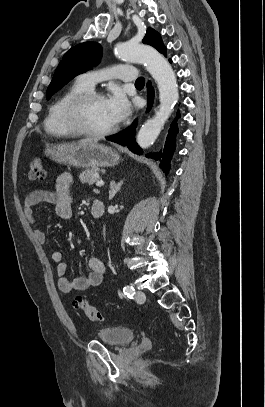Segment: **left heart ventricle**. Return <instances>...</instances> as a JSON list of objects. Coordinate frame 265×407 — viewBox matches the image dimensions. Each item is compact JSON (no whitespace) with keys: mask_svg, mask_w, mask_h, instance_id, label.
<instances>
[{"mask_svg":"<svg viewBox=\"0 0 265 407\" xmlns=\"http://www.w3.org/2000/svg\"><path fill=\"white\" fill-rule=\"evenodd\" d=\"M83 123L93 131L107 130L115 125L105 99L95 100L84 109Z\"/></svg>","mask_w":265,"mask_h":407,"instance_id":"obj_1","label":"left heart ventricle"}]
</instances>
